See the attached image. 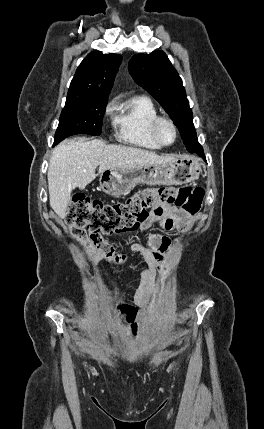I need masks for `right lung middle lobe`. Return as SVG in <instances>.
<instances>
[{
    "mask_svg": "<svg viewBox=\"0 0 264 429\" xmlns=\"http://www.w3.org/2000/svg\"><path fill=\"white\" fill-rule=\"evenodd\" d=\"M108 98L68 97L55 134L54 145L74 134L100 135Z\"/></svg>",
    "mask_w": 264,
    "mask_h": 429,
    "instance_id": "obj_1",
    "label": "right lung middle lobe"
}]
</instances>
